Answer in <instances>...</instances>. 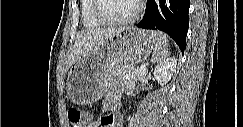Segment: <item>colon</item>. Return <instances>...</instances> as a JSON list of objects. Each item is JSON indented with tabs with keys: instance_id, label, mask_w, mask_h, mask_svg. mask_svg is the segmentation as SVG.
<instances>
[{
	"instance_id": "colon-1",
	"label": "colon",
	"mask_w": 243,
	"mask_h": 127,
	"mask_svg": "<svg viewBox=\"0 0 243 127\" xmlns=\"http://www.w3.org/2000/svg\"><path fill=\"white\" fill-rule=\"evenodd\" d=\"M68 119L71 127H83L86 122V118L83 116L82 112L78 108H70L68 110Z\"/></svg>"
}]
</instances>
